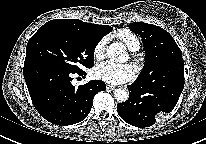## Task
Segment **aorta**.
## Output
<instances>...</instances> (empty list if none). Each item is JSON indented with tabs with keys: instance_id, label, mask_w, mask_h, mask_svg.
Returning <instances> with one entry per match:
<instances>
[{
	"instance_id": "obj_1",
	"label": "aorta",
	"mask_w": 206,
	"mask_h": 144,
	"mask_svg": "<svg viewBox=\"0 0 206 144\" xmlns=\"http://www.w3.org/2000/svg\"><path fill=\"white\" fill-rule=\"evenodd\" d=\"M106 53L110 58L118 62H124L128 56L125 47L117 42L110 44ZM114 98L117 102L123 103L128 100L129 94L125 89L119 88L114 91Z\"/></svg>"
}]
</instances>
